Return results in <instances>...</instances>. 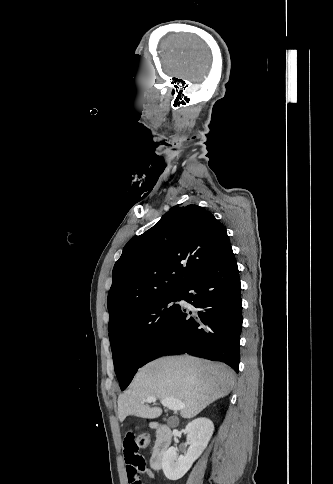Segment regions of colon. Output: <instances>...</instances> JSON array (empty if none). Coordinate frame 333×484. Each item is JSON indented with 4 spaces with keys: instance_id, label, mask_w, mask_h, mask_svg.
Here are the masks:
<instances>
[{
    "instance_id": "colon-1",
    "label": "colon",
    "mask_w": 333,
    "mask_h": 484,
    "mask_svg": "<svg viewBox=\"0 0 333 484\" xmlns=\"http://www.w3.org/2000/svg\"><path fill=\"white\" fill-rule=\"evenodd\" d=\"M149 435L146 433L140 434L136 438V444L139 448H145L149 444Z\"/></svg>"
}]
</instances>
